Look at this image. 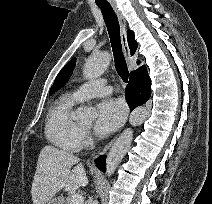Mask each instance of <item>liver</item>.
I'll return each instance as SVG.
<instances>
[{"instance_id": "liver-1", "label": "liver", "mask_w": 212, "mask_h": 204, "mask_svg": "<svg viewBox=\"0 0 212 204\" xmlns=\"http://www.w3.org/2000/svg\"><path fill=\"white\" fill-rule=\"evenodd\" d=\"M80 159L64 150L46 145L40 151L32 183L33 204H46L60 190L75 191L88 184ZM76 165L72 170V166Z\"/></svg>"}]
</instances>
